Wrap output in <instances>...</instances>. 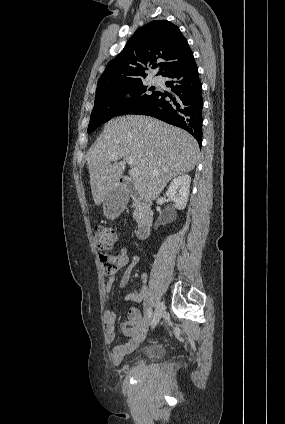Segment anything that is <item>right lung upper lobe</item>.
<instances>
[{
	"label": "right lung upper lobe",
	"instance_id": "1",
	"mask_svg": "<svg viewBox=\"0 0 285 424\" xmlns=\"http://www.w3.org/2000/svg\"><path fill=\"white\" fill-rule=\"evenodd\" d=\"M193 58L179 28L167 20H154L139 28L124 49L110 61L98 80L97 90L111 85L143 81L149 67L165 76Z\"/></svg>",
	"mask_w": 285,
	"mask_h": 424
}]
</instances>
